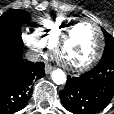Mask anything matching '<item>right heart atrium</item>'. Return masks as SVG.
I'll list each match as a JSON object with an SVG mask.
<instances>
[{
    "label": "right heart atrium",
    "mask_w": 114,
    "mask_h": 114,
    "mask_svg": "<svg viewBox=\"0 0 114 114\" xmlns=\"http://www.w3.org/2000/svg\"><path fill=\"white\" fill-rule=\"evenodd\" d=\"M23 41L30 47H32L33 49L39 51V52H43V46L40 45L37 40L35 39V37L29 33H23L22 35Z\"/></svg>",
    "instance_id": "d8ad5b80"
}]
</instances>
